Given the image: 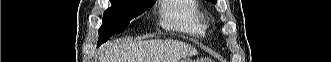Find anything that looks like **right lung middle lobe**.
<instances>
[{"mask_svg":"<svg viewBox=\"0 0 331 62\" xmlns=\"http://www.w3.org/2000/svg\"><path fill=\"white\" fill-rule=\"evenodd\" d=\"M112 6L103 14L99 29L98 46L111 36L123 32L133 18L143 14L154 1L149 0H110Z\"/></svg>","mask_w":331,"mask_h":62,"instance_id":"obj_1","label":"right lung middle lobe"}]
</instances>
